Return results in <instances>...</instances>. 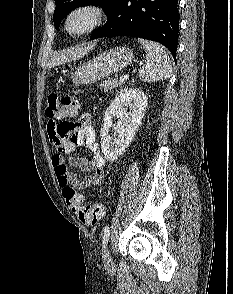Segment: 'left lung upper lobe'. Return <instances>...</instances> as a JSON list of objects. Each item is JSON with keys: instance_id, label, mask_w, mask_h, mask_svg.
I'll return each instance as SVG.
<instances>
[{"instance_id": "left-lung-upper-lobe-1", "label": "left lung upper lobe", "mask_w": 233, "mask_h": 294, "mask_svg": "<svg viewBox=\"0 0 233 294\" xmlns=\"http://www.w3.org/2000/svg\"><path fill=\"white\" fill-rule=\"evenodd\" d=\"M117 0H55L56 8L53 14L54 26L59 28L61 21L76 7L98 5L108 16Z\"/></svg>"}]
</instances>
